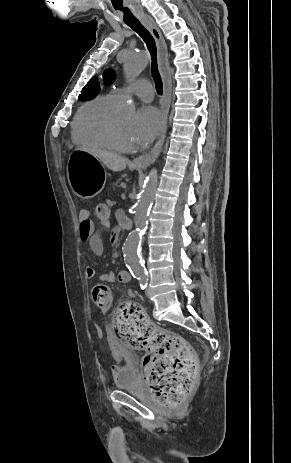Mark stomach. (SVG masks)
Returning a JSON list of instances; mask_svg holds the SVG:
<instances>
[{
	"instance_id": "0dacf381",
	"label": "stomach",
	"mask_w": 291,
	"mask_h": 463,
	"mask_svg": "<svg viewBox=\"0 0 291 463\" xmlns=\"http://www.w3.org/2000/svg\"><path fill=\"white\" fill-rule=\"evenodd\" d=\"M103 166L89 152L75 150L69 155L67 177L73 192L83 199L97 195L103 184Z\"/></svg>"
}]
</instances>
